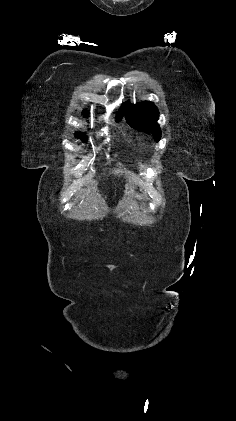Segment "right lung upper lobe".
Returning a JSON list of instances; mask_svg holds the SVG:
<instances>
[{"label": "right lung upper lobe", "mask_w": 236, "mask_h": 421, "mask_svg": "<svg viewBox=\"0 0 236 421\" xmlns=\"http://www.w3.org/2000/svg\"><path fill=\"white\" fill-rule=\"evenodd\" d=\"M85 112V111H84ZM120 112H124V105L122 106V108H121V111Z\"/></svg>", "instance_id": "right-lung-upper-lobe-1"}]
</instances>
